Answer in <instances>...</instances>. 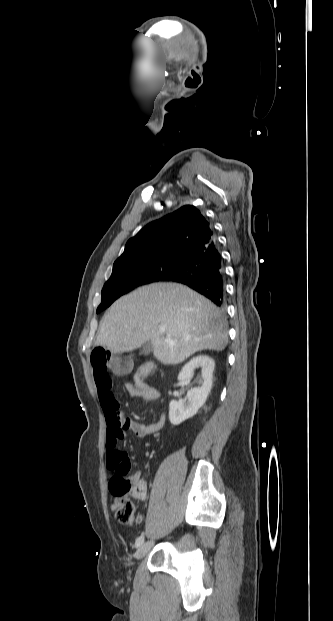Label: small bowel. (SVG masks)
<instances>
[{
  "instance_id": "small-bowel-1",
  "label": "small bowel",
  "mask_w": 333,
  "mask_h": 621,
  "mask_svg": "<svg viewBox=\"0 0 333 621\" xmlns=\"http://www.w3.org/2000/svg\"><path fill=\"white\" fill-rule=\"evenodd\" d=\"M90 361L107 425V466L110 470L118 467L130 469L127 453L119 449V443L126 438L127 432H132L138 438H145L159 431L164 426L165 416L161 414L158 421L151 424L125 418L120 412L118 401L113 393V382L109 375L110 370H122V359L105 348L97 347L91 352ZM125 387L131 396L139 397L145 401H156L160 398L159 392L144 380H137L132 385L126 384ZM131 479L140 489L138 492L132 493V496L143 500L147 494L145 480L141 477L140 472L134 473Z\"/></svg>"
}]
</instances>
